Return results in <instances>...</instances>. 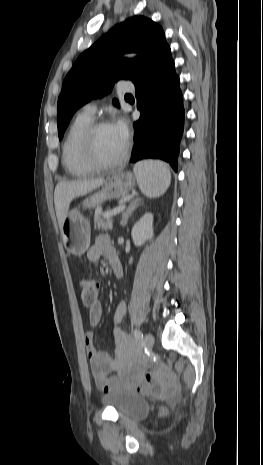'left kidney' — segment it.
<instances>
[{
  "instance_id": "5707ae66",
  "label": "left kidney",
  "mask_w": 263,
  "mask_h": 465,
  "mask_svg": "<svg viewBox=\"0 0 263 465\" xmlns=\"http://www.w3.org/2000/svg\"><path fill=\"white\" fill-rule=\"evenodd\" d=\"M131 236L136 246L143 245L147 240L153 237V214L146 213L133 226Z\"/></svg>"
}]
</instances>
